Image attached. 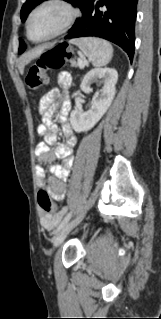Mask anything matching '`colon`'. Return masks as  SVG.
<instances>
[{"label": "colon", "mask_w": 161, "mask_h": 319, "mask_svg": "<svg viewBox=\"0 0 161 319\" xmlns=\"http://www.w3.org/2000/svg\"><path fill=\"white\" fill-rule=\"evenodd\" d=\"M72 48L65 44H59L43 53L36 63L30 66L26 75V82L30 89L37 90L47 83L46 70L62 68L72 56ZM40 207L47 212L55 208L48 191L41 190L38 193Z\"/></svg>", "instance_id": "5ec220e1"}]
</instances>
